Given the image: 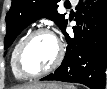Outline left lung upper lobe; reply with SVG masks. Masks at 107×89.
Here are the masks:
<instances>
[{
    "label": "left lung upper lobe",
    "instance_id": "left-lung-upper-lobe-1",
    "mask_svg": "<svg viewBox=\"0 0 107 89\" xmlns=\"http://www.w3.org/2000/svg\"><path fill=\"white\" fill-rule=\"evenodd\" d=\"M58 2L59 0H12L11 8L6 15L4 49L13 43L24 28L41 17L53 20L63 31L67 26V20L57 12Z\"/></svg>",
    "mask_w": 107,
    "mask_h": 89
}]
</instances>
